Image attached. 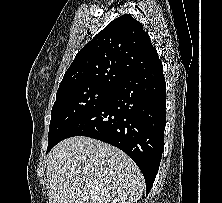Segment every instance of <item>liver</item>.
I'll use <instances>...</instances> for the list:
<instances>
[{"mask_svg":"<svg viewBox=\"0 0 222 203\" xmlns=\"http://www.w3.org/2000/svg\"><path fill=\"white\" fill-rule=\"evenodd\" d=\"M50 203H134L144 178L120 149L88 137H72L48 154Z\"/></svg>","mask_w":222,"mask_h":203,"instance_id":"obj_1","label":"liver"}]
</instances>
